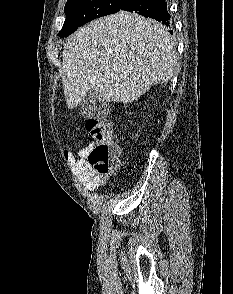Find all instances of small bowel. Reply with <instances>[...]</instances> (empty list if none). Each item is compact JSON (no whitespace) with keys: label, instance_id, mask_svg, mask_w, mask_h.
Segmentation results:
<instances>
[{"label":"small bowel","instance_id":"obj_1","mask_svg":"<svg viewBox=\"0 0 233 294\" xmlns=\"http://www.w3.org/2000/svg\"><path fill=\"white\" fill-rule=\"evenodd\" d=\"M89 150L90 147L79 150L78 154L80 158L78 160H76L72 153L68 151L65 152V155L71 164L81 173L86 182V186L89 189H95L103 183L104 177L97 174L88 163L87 154Z\"/></svg>","mask_w":233,"mask_h":294}]
</instances>
